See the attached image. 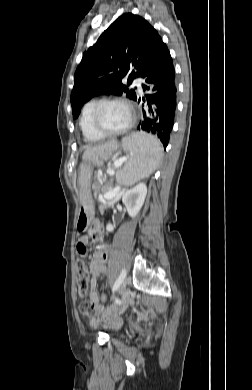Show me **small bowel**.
Returning a JSON list of instances; mask_svg holds the SVG:
<instances>
[{"instance_id":"obj_1","label":"small bowel","mask_w":252,"mask_h":390,"mask_svg":"<svg viewBox=\"0 0 252 390\" xmlns=\"http://www.w3.org/2000/svg\"><path fill=\"white\" fill-rule=\"evenodd\" d=\"M103 235H104L103 227L98 222H94L89 231V235H84L79 238L77 243L78 254L85 256L87 253V244L90 242V239L92 238L94 240L101 241ZM108 255H109L108 245L100 242L96 247L95 254L90 264L91 280H90L89 299L93 303L96 311L99 313L103 312V306L101 305L100 297L96 290L97 277L106 274L107 272L106 263L108 260Z\"/></svg>"}]
</instances>
